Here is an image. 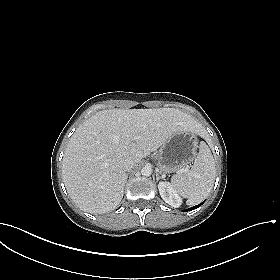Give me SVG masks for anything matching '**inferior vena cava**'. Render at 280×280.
Listing matches in <instances>:
<instances>
[{"instance_id": "602c4592", "label": "inferior vena cava", "mask_w": 280, "mask_h": 280, "mask_svg": "<svg viewBox=\"0 0 280 280\" xmlns=\"http://www.w3.org/2000/svg\"><path fill=\"white\" fill-rule=\"evenodd\" d=\"M135 166H136V160L131 156H128L123 160V167L125 171H130Z\"/></svg>"}]
</instances>
